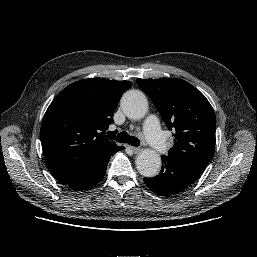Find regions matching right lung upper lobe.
<instances>
[{
    "mask_svg": "<svg viewBox=\"0 0 257 257\" xmlns=\"http://www.w3.org/2000/svg\"><path fill=\"white\" fill-rule=\"evenodd\" d=\"M129 81L84 79L64 88L48 107L41 125L45 163L68 184L96 166L117 146L105 135Z\"/></svg>",
    "mask_w": 257,
    "mask_h": 257,
    "instance_id": "obj_1",
    "label": "right lung upper lobe"
}]
</instances>
